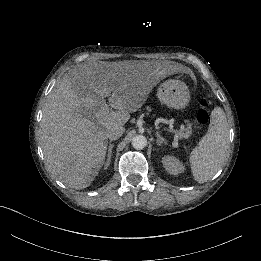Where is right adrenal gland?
<instances>
[{"label":"right adrenal gland","mask_w":261,"mask_h":261,"mask_svg":"<svg viewBox=\"0 0 261 261\" xmlns=\"http://www.w3.org/2000/svg\"><path fill=\"white\" fill-rule=\"evenodd\" d=\"M114 148V144H111L108 146V160H107V164L105 165L104 169L107 170L108 167L111 164V157H112V150Z\"/></svg>","instance_id":"2a0ac1e0"}]
</instances>
